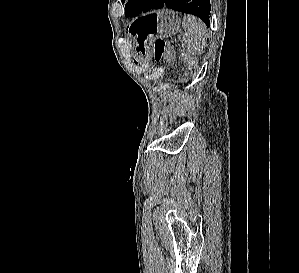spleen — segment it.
<instances>
[{"mask_svg":"<svg viewBox=\"0 0 299 273\" xmlns=\"http://www.w3.org/2000/svg\"><path fill=\"white\" fill-rule=\"evenodd\" d=\"M182 47L191 55H200L206 47L207 29L203 21L191 15L184 16Z\"/></svg>","mask_w":299,"mask_h":273,"instance_id":"spleen-1","label":"spleen"}]
</instances>
